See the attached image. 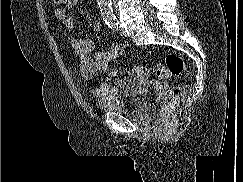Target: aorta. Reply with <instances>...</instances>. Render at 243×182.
Here are the masks:
<instances>
[{
  "mask_svg": "<svg viewBox=\"0 0 243 182\" xmlns=\"http://www.w3.org/2000/svg\"><path fill=\"white\" fill-rule=\"evenodd\" d=\"M96 1L103 19L106 21L114 20L115 16L112 10V1L111 0H96Z\"/></svg>",
  "mask_w": 243,
  "mask_h": 182,
  "instance_id": "1",
  "label": "aorta"
}]
</instances>
